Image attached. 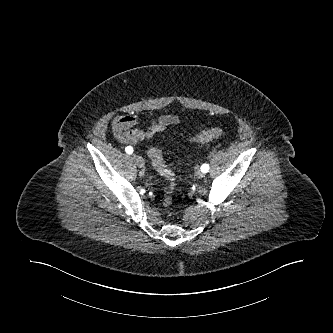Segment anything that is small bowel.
<instances>
[{"mask_svg":"<svg viewBox=\"0 0 333 333\" xmlns=\"http://www.w3.org/2000/svg\"><path fill=\"white\" fill-rule=\"evenodd\" d=\"M138 121V116L135 114L117 116L112 123L115 139L122 144L134 145L143 140L152 139L155 134L179 123V119L175 115H162L153 118L149 127L143 131L133 128Z\"/></svg>","mask_w":333,"mask_h":333,"instance_id":"obj_1","label":"small bowel"}]
</instances>
